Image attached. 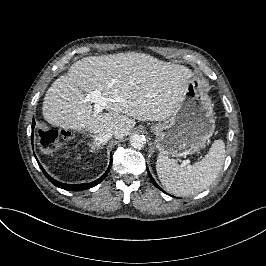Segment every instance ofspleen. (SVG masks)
Listing matches in <instances>:
<instances>
[{"instance_id":"obj_1","label":"spleen","mask_w":266,"mask_h":266,"mask_svg":"<svg viewBox=\"0 0 266 266\" xmlns=\"http://www.w3.org/2000/svg\"><path fill=\"white\" fill-rule=\"evenodd\" d=\"M225 160L224 141L213 142L201 161L188 168L180 167L168 156L159 153L156 170L163 187L172 194L190 196L198 194L212 184L218 177Z\"/></svg>"}]
</instances>
